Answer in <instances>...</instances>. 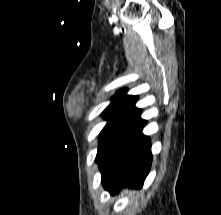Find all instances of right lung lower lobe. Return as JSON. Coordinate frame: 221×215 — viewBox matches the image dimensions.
<instances>
[{"instance_id": "obj_1", "label": "right lung lower lobe", "mask_w": 221, "mask_h": 215, "mask_svg": "<svg viewBox=\"0 0 221 215\" xmlns=\"http://www.w3.org/2000/svg\"><path fill=\"white\" fill-rule=\"evenodd\" d=\"M136 116L110 140L97 161L105 190L116 194L124 187L138 188L144 183L152 163L149 137L142 134L146 121Z\"/></svg>"}]
</instances>
